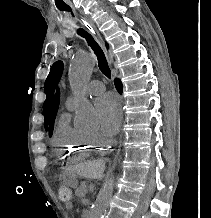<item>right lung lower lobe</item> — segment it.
<instances>
[{
    "instance_id": "right-lung-lower-lobe-1",
    "label": "right lung lower lobe",
    "mask_w": 211,
    "mask_h": 218,
    "mask_svg": "<svg viewBox=\"0 0 211 218\" xmlns=\"http://www.w3.org/2000/svg\"><path fill=\"white\" fill-rule=\"evenodd\" d=\"M114 82H115V86H116L118 92L122 93V83H121V81L119 79H115Z\"/></svg>"
}]
</instances>
